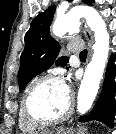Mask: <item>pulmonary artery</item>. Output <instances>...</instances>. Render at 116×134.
<instances>
[{
    "mask_svg": "<svg viewBox=\"0 0 116 134\" xmlns=\"http://www.w3.org/2000/svg\"><path fill=\"white\" fill-rule=\"evenodd\" d=\"M68 51L71 53H79L84 49V42L82 40H71L68 44Z\"/></svg>",
    "mask_w": 116,
    "mask_h": 134,
    "instance_id": "e3ab8cb5",
    "label": "pulmonary artery"
}]
</instances>
